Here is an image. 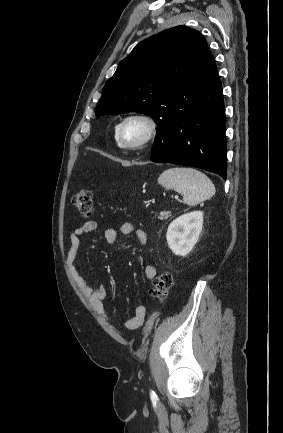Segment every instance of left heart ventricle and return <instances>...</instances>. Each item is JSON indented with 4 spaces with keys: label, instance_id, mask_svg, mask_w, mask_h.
<instances>
[{
    "label": "left heart ventricle",
    "instance_id": "1",
    "mask_svg": "<svg viewBox=\"0 0 283 433\" xmlns=\"http://www.w3.org/2000/svg\"><path fill=\"white\" fill-rule=\"evenodd\" d=\"M146 125L140 120H131L125 123L121 131L124 142H134L141 139L146 133Z\"/></svg>",
    "mask_w": 283,
    "mask_h": 433
}]
</instances>
